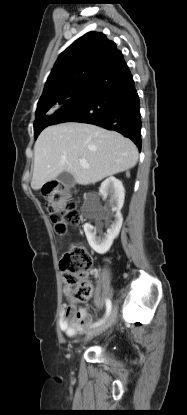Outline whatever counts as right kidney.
Listing matches in <instances>:
<instances>
[{"label":"right kidney","mask_w":187,"mask_h":415,"mask_svg":"<svg viewBox=\"0 0 187 415\" xmlns=\"http://www.w3.org/2000/svg\"><path fill=\"white\" fill-rule=\"evenodd\" d=\"M124 192L122 182L115 177H109L103 181L99 188V193L103 198L110 196L111 211L115 212V220L103 236H97L95 228L90 223L84 225V231L89 245L99 254H105L112 246L114 239L119 235L123 222L120 211L124 204Z\"/></svg>","instance_id":"obj_1"}]
</instances>
